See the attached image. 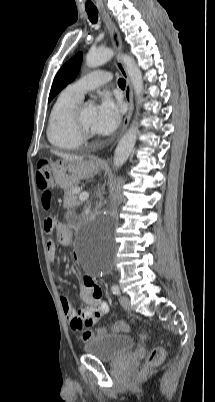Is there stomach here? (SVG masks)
Here are the masks:
<instances>
[{
	"label": "stomach",
	"instance_id": "stomach-1",
	"mask_svg": "<svg viewBox=\"0 0 215 402\" xmlns=\"http://www.w3.org/2000/svg\"><path fill=\"white\" fill-rule=\"evenodd\" d=\"M99 170L100 164L94 159L83 158L76 161H56L51 169L55 183L63 189L77 185L81 180L97 174Z\"/></svg>",
	"mask_w": 215,
	"mask_h": 402
}]
</instances>
